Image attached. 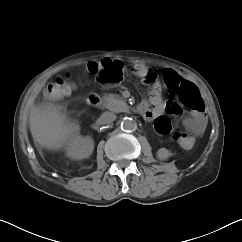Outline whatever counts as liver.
<instances>
[{
    "label": "liver",
    "instance_id": "6515ba94",
    "mask_svg": "<svg viewBox=\"0 0 242 242\" xmlns=\"http://www.w3.org/2000/svg\"><path fill=\"white\" fill-rule=\"evenodd\" d=\"M29 125L35 145L57 151L68 143L71 125L59 107L34 106L30 113Z\"/></svg>",
    "mask_w": 242,
    "mask_h": 242
}]
</instances>
